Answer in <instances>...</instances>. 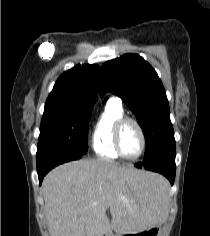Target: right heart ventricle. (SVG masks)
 <instances>
[{
	"instance_id": "right-heart-ventricle-1",
	"label": "right heart ventricle",
	"mask_w": 210,
	"mask_h": 236,
	"mask_svg": "<svg viewBox=\"0 0 210 236\" xmlns=\"http://www.w3.org/2000/svg\"><path fill=\"white\" fill-rule=\"evenodd\" d=\"M123 116L121 103L110 99L97 117L91 136V146L99 157L109 160L119 158L114 148L113 136L115 124Z\"/></svg>"
}]
</instances>
